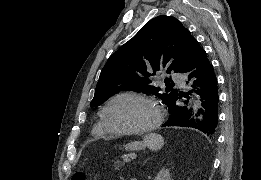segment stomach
<instances>
[{
    "label": "stomach",
    "instance_id": "0dacf381",
    "mask_svg": "<svg viewBox=\"0 0 261 180\" xmlns=\"http://www.w3.org/2000/svg\"><path fill=\"white\" fill-rule=\"evenodd\" d=\"M124 147H125V150L133 151V150L141 149L142 144L139 142H132V143L125 145Z\"/></svg>",
    "mask_w": 261,
    "mask_h": 180
}]
</instances>
